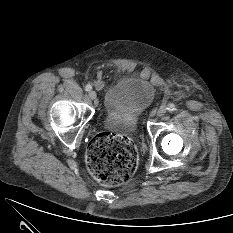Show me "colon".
Returning <instances> with one entry per match:
<instances>
[{"label": "colon", "mask_w": 233, "mask_h": 233, "mask_svg": "<svg viewBox=\"0 0 233 233\" xmlns=\"http://www.w3.org/2000/svg\"><path fill=\"white\" fill-rule=\"evenodd\" d=\"M86 160L93 176L106 186L126 183L138 164L137 151L131 139L113 132H102L91 140Z\"/></svg>", "instance_id": "5ec220e1"}]
</instances>
